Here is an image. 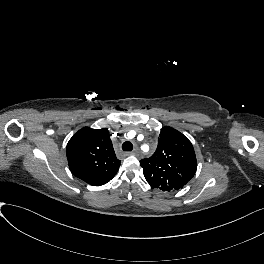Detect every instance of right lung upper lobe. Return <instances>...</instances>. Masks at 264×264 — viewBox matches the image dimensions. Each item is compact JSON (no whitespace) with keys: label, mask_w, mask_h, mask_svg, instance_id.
Instances as JSON below:
<instances>
[{"label":"right lung upper lobe","mask_w":264,"mask_h":264,"mask_svg":"<svg viewBox=\"0 0 264 264\" xmlns=\"http://www.w3.org/2000/svg\"><path fill=\"white\" fill-rule=\"evenodd\" d=\"M66 155L71 172L89 185L108 183L120 166L106 128L79 130L69 140Z\"/></svg>","instance_id":"cb5924a9"}]
</instances>
